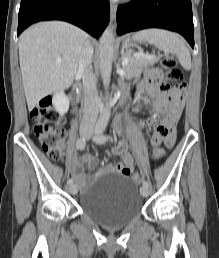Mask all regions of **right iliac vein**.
<instances>
[{
    "instance_id": "1",
    "label": "right iliac vein",
    "mask_w": 219,
    "mask_h": 258,
    "mask_svg": "<svg viewBox=\"0 0 219 258\" xmlns=\"http://www.w3.org/2000/svg\"><path fill=\"white\" fill-rule=\"evenodd\" d=\"M69 191H70V193L73 194V195L77 194V192H78V187H77V185H76V184L70 185Z\"/></svg>"
}]
</instances>
